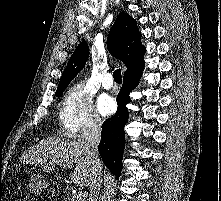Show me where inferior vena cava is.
<instances>
[{
	"label": "inferior vena cava",
	"mask_w": 221,
	"mask_h": 201,
	"mask_svg": "<svg viewBox=\"0 0 221 201\" xmlns=\"http://www.w3.org/2000/svg\"><path fill=\"white\" fill-rule=\"evenodd\" d=\"M83 139L87 143L88 157L90 162V184L89 201H98L101 188V161L98 153V145L101 138V121L97 117H92L82 133Z\"/></svg>",
	"instance_id": "inferior-vena-cava-1"
}]
</instances>
